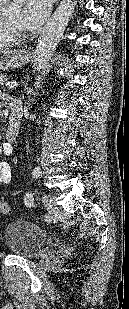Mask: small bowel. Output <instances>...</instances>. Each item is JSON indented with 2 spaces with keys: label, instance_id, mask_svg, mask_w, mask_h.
Here are the masks:
<instances>
[{
  "label": "small bowel",
  "instance_id": "1",
  "mask_svg": "<svg viewBox=\"0 0 129 309\" xmlns=\"http://www.w3.org/2000/svg\"><path fill=\"white\" fill-rule=\"evenodd\" d=\"M10 155L12 153V147L9 143H3L0 146V153ZM12 179L11 168L8 163L0 162V184L5 185L10 183Z\"/></svg>",
  "mask_w": 129,
  "mask_h": 309
}]
</instances>
